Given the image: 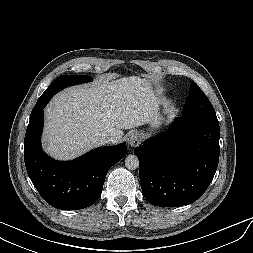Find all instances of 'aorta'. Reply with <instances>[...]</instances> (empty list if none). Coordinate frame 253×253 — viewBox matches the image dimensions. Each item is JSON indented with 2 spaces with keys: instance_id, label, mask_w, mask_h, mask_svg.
<instances>
[{
  "instance_id": "762f6f07",
  "label": "aorta",
  "mask_w": 253,
  "mask_h": 253,
  "mask_svg": "<svg viewBox=\"0 0 253 253\" xmlns=\"http://www.w3.org/2000/svg\"><path fill=\"white\" fill-rule=\"evenodd\" d=\"M125 166L128 170H135L139 167V159L136 155H128L125 159Z\"/></svg>"
}]
</instances>
